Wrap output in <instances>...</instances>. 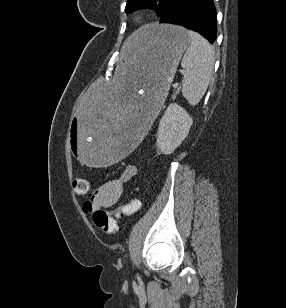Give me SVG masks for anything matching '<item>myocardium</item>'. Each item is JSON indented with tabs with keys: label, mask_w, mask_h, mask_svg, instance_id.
<instances>
[{
	"label": "myocardium",
	"mask_w": 286,
	"mask_h": 308,
	"mask_svg": "<svg viewBox=\"0 0 286 308\" xmlns=\"http://www.w3.org/2000/svg\"><path fill=\"white\" fill-rule=\"evenodd\" d=\"M143 18H144L143 13H136L133 16V20L136 21V22H140Z\"/></svg>",
	"instance_id": "obj_1"
}]
</instances>
